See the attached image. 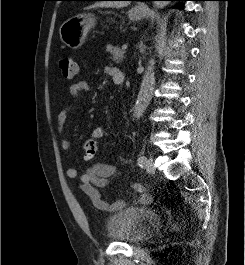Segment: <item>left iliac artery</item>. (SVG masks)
Segmentation results:
<instances>
[{"label": "left iliac artery", "instance_id": "1", "mask_svg": "<svg viewBox=\"0 0 245 265\" xmlns=\"http://www.w3.org/2000/svg\"><path fill=\"white\" fill-rule=\"evenodd\" d=\"M146 157L145 156H140L138 159H137V163L140 167H143L145 162H146Z\"/></svg>", "mask_w": 245, "mask_h": 265}]
</instances>
